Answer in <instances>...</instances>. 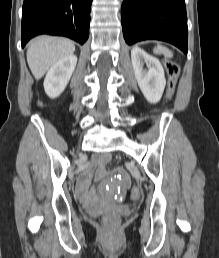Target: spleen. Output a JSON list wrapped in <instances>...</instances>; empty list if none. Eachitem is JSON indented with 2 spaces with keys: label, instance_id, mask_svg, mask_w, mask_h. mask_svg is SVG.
I'll return each mask as SVG.
<instances>
[{
  "label": "spleen",
  "instance_id": "spleen-1",
  "mask_svg": "<svg viewBox=\"0 0 219 258\" xmlns=\"http://www.w3.org/2000/svg\"><path fill=\"white\" fill-rule=\"evenodd\" d=\"M154 53L155 54H163L166 57H172V51H170L168 48L162 46V45H157V47L154 48Z\"/></svg>",
  "mask_w": 219,
  "mask_h": 258
}]
</instances>
